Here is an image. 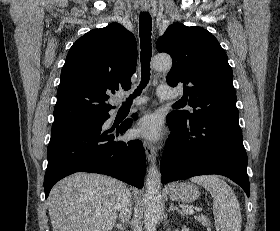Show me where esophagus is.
Segmentation results:
<instances>
[{"mask_svg": "<svg viewBox=\"0 0 280 231\" xmlns=\"http://www.w3.org/2000/svg\"><path fill=\"white\" fill-rule=\"evenodd\" d=\"M141 10L143 12H148V11H150V7L142 6ZM143 146L145 148V153H146L147 160L149 162L155 161L156 156H157L155 147L151 143H149L148 141H144Z\"/></svg>", "mask_w": 280, "mask_h": 231, "instance_id": "1", "label": "esophagus"}]
</instances>
